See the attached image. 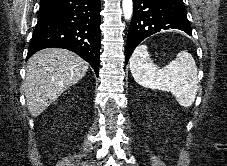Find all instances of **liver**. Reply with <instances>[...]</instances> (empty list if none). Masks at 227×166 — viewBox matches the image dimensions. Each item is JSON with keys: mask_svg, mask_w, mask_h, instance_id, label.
<instances>
[{"mask_svg": "<svg viewBox=\"0 0 227 166\" xmlns=\"http://www.w3.org/2000/svg\"><path fill=\"white\" fill-rule=\"evenodd\" d=\"M88 63L72 51L47 48L28 61L24 90L32 117L39 116L65 90L78 83Z\"/></svg>", "mask_w": 227, "mask_h": 166, "instance_id": "liver-1", "label": "liver"}]
</instances>
